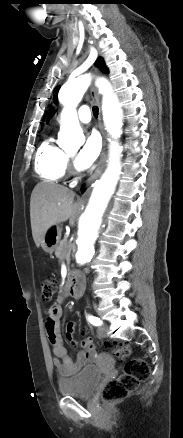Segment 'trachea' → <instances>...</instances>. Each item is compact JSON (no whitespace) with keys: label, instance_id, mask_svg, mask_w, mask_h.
Wrapping results in <instances>:
<instances>
[{"label":"trachea","instance_id":"1","mask_svg":"<svg viewBox=\"0 0 183 438\" xmlns=\"http://www.w3.org/2000/svg\"><path fill=\"white\" fill-rule=\"evenodd\" d=\"M92 110H93V114H94V116L97 118V117H98V112H99L98 107H97V106H94Z\"/></svg>","mask_w":183,"mask_h":438}]
</instances>
